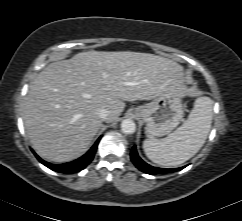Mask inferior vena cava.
Returning <instances> with one entry per match:
<instances>
[{"label":"inferior vena cava","instance_id":"obj_1","mask_svg":"<svg viewBox=\"0 0 242 221\" xmlns=\"http://www.w3.org/2000/svg\"><path fill=\"white\" fill-rule=\"evenodd\" d=\"M109 111L107 109H99L98 110V116L104 120V121H107L108 118H109Z\"/></svg>","mask_w":242,"mask_h":221}]
</instances>
